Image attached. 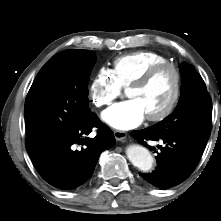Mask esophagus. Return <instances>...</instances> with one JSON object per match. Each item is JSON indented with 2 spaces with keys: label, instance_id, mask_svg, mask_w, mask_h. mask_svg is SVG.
<instances>
[{
  "label": "esophagus",
  "instance_id": "34e87169",
  "mask_svg": "<svg viewBox=\"0 0 221 221\" xmlns=\"http://www.w3.org/2000/svg\"><path fill=\"white\" fill-rule=\"evenodd\" d=\"M114 137L117 141H123L127 137V133L124 131H114Z\"/></svg>",
  "mask_w": 221,
  "mask_h": 221
}]
</instances>
